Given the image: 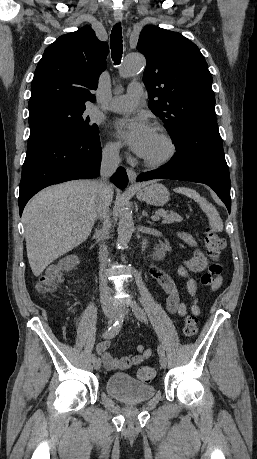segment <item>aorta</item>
<instances>
[{"mask_svg":"<svg viewBox=\"0 0 257 459\" xmlns=\"http://www.w3.org/2000/svg\"><path fill=\"white\" fill-rule=\"evenodd\" d=\"M146 65L145 58L141 54H128L120 68V76L122 78H128L139 71H141ZM134 230V222L132 212L127 208L123 207L119 215L118 223V243L120 245L127 244Z\"/></svg>","mask_w":257,"mask_h":459,"instance_id":"762f6f07","label":"aorta"}]
</instances>
